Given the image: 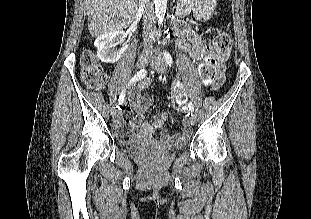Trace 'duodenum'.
Listing matches in <instances>:
<instances>
[{
	"label": "duodenum",
	"mask_w": 311,
	"mask_h": 219,
	"mask_svg": "<svg viewBox=\"0 0 311 219\" xmlns=\"http://www.w3.org/2000/svg\"><path fill=\"white\" fill-rule=\"evenodd\" d=\"M173 30L175 32L179 31L181 29V26L178 23H174L172 26Z\"/></svg>",
	"instance_id": "obj_1"
}]
</instances>
